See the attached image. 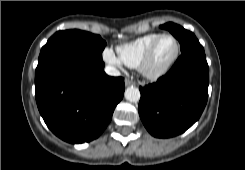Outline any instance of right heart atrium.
<instances>
[{
    "label": "right heart atrium",
    "instance_id": "right-heart-atrium-1",
    "mask_svg": "<svg viewBox=\"0 0 245 170\" xmlns=\"http://www.w3.org/2000/svg\"><path fill=\"white\" fill-rule=\"evenodd\" d=\"M103 59L111 65L120 66V60L115 56L114 52L110 48H106L103 51Z\"/></svg>",
    "mask_w": 245,
    "mask_h": 170
}]
</instances>
